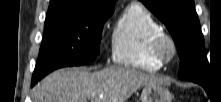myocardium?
Here are the masks:
<instances>
[{
  "label": "myocardium",
  "mask_w": 221,
  "mask_h": 102,
  "mask_svg": "<svg viewBox=\"0 0 221 102\" xmlns=\"http://www.w3.org/2000/svg\"><path fill=\"white\" fill-rule=\"evenodd\" d=\"M177 52L176 43L165 31L155 33L148 43V53L161 65L173 60Z\"/></svg>",
  "instance_id": "f54148a6"
}]
</instances>
